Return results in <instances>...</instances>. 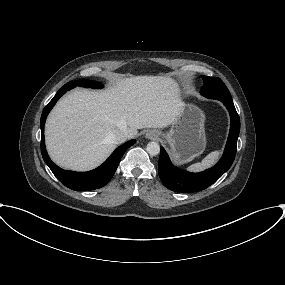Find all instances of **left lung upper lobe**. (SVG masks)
I'll list each match as a JSON object with an SVG mask.
<instances>
[{
  "label": "left lung upper lobe",
  "mask_w": 285,
  "mask_h": 285,
  "mask_svg": "<svg viewBox=\"0 0 285 285\" xmlns=\"http://www.w3.org/2000/svg\"><path fill=\"white\" fill-rule=\"evenodd\" d=\"M203 87L200 93L208 98L222 102H233L232 97L223 81L218 77L203 76Z\"/></svg>",
  "instance_id": "1"
}]
</instances>
